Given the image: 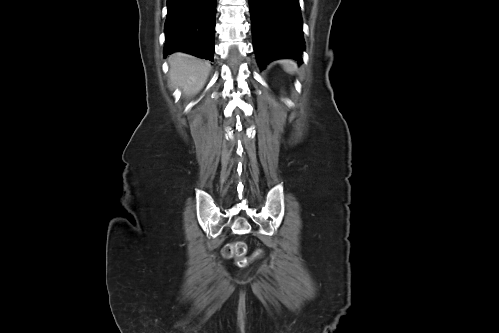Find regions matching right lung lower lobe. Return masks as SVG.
<instances>
[{"label": "right lung lower lobe", "mask_w": 499, "mask_h": 333, "mask_svg": "<svg viewBox=\"0 0 499 333\" xmlns=\"http://www.w3.org/2000/svg\"><path fill=\"white\" fill-rule=\"evenodd\" d=\"M217 0H167L164 56L183 51L213 61Z\"/></svg>", "instance_id": "obj_1"}]
</instances>
